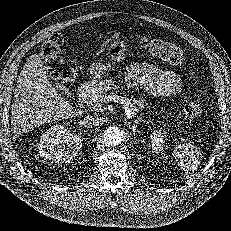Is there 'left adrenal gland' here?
Returning a JSON list of instances; mask_svg holds the SVG:
<instances>
[{"label": "left adrenal gland", "mask_w": 231, "mask_h": 231, "mask_svg": "<svg viewBox=\"0 0 231 231\" xmlns=\"http://www.w3.org/2000/svg\"><path fill=\"white\" fill-rule=\"evenodd\" d=\"M139 121H141V117H139L137 120H135L134 124L132 126L130 124H128L129 129L132 130L133 132H135V130L137 128V124Z\"/></svg>", "instance_id": "obj_1"}]
</instances>
